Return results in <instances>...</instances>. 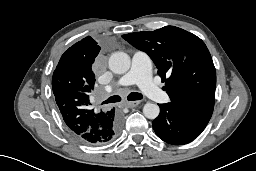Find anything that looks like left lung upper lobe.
<instances>
[{
    "label": "left lung upper lobe",
    "instance_id": "5c2ea615",
    "mask_svg": "<svg viewBox=\"0 0 256 171\" xmlns=\"http://www.w3.org/2000/svg\"><path fill=\"white\" fill-rule=\"evenodd\" d=\"M122 37L154 61L171 103L211 118L216 71L211 55L200 38L174 26Z\"/></svg>",
    "mask_w": 256,
    "mask_h": 171
}]
</instances>
